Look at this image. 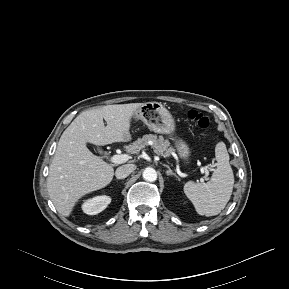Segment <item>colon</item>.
Wrapping results in <instances>:
<instances>
[{"label": "colon", "instance_id": "obj_1", "mask_svg": "<svg viewBox=\"0 0 289 289\" xmlns=\"http://www.w3.org/2000/svg\"><path fill=\"white\" fill-rule=\"evenodd\" d=\"M188 116L190 119H192L193 121H195V123L198 125L199 128H201L202 130H205L208 128L209 126V119L204 116L203 114L192 110L188 113Z\"/></svg>", "mask_w": 289, "mask_h": 289}]
</instances>
